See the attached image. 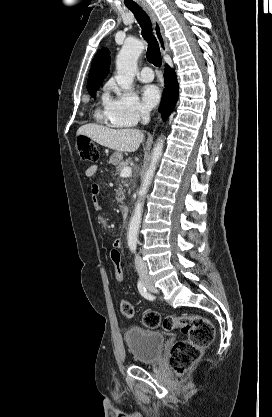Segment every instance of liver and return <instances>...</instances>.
I'll use <instances>...</instances> for the list:
<instances>
[{
	"label": "liver",
	"instance_id": "6515ba94",
	"mask_svg": "<svg viewBox=\"0 0 272 417\" xmlns=\"http://www.w3.org/2000/svg\"><path fill=\"white\" fill-rule=\"evenodd\" d=\"M79 135H85L102 146L120 152H135L144 138L138 129H111L97 124L81 126L77 130Z\"/></svg>",
	"mask_w": 272,
	"mask_h": 417
}]
</instances>
